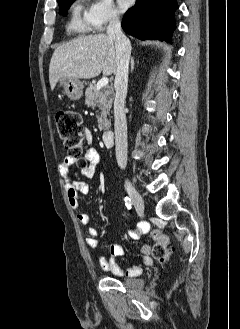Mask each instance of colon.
<instances>
[{"label": "colon", "mask_w": 240, "mask_h": 329, "mask_svg": "<svg viewBox=\"0 0 240 329\" xmlns=\"http://www.w3.org/2000/svg\"><path fill=\"white\" fill-rule=\"evenodd\" d=\"M56 123L64 147L73 158H81L83 154V126L79 113L70 109H58ZM152 237L155 240L153 256L161 263L168 261L171 251L168 247L169 238L161 229H154Z\"/></svg>", "instance_id": "5ec220e1"}]
</instances>
